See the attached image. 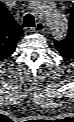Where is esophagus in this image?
<instances>
[{"instance_id": "obj_1", "label": "esophagus", "mask_w": 74, "mask_h": 122, "mask_svg": "<svg viewBox=\"0 0 74 122\" xmlns=\"http://www.w3.org/2000/svg\"><path fill=\"white\" fill-rule=\"evenodd\" d=\"M31 32H43L45 30V25L41 21L36 23V26L30 29Z\"/></svg>"}]
</instances>
